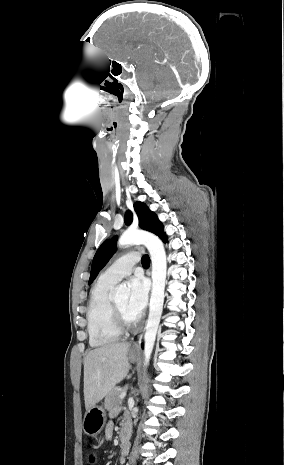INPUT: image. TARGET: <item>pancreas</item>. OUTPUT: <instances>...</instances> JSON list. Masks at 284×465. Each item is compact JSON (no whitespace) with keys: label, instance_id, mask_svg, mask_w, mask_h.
Returning <instances> with one entry per match:
<instances>
[{"label":"pancreas","instance_id":"1","mask_svg":"<svg viewBox=\"0 0 284 465\" xmlns=\"http://www.w3.org/2000/svg\"><path fill=\"white\" fill-rule=\"evenodd\" d=\"M126 389L127 387H123V389H121V387H114V389H111V391H109L108 395H106L105 397L104 403V407L105 409H107V411H111L113 407H116V405L120 403L119 395H121V393H124Z\"/></svg>","mask_w":284,"mask_h":465}]
</instances>
